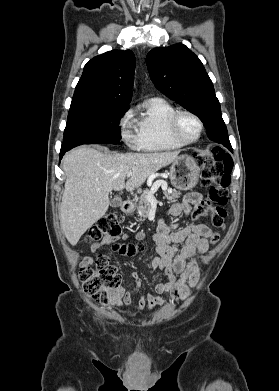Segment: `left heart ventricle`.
<instances>
[{
	"label": "left heart ventricle",
	"mask_w": 279,
	"mask_h": 391,
	"mask_svg": "<svg viewBox=\"0 0 279 391\" xmlns=\"http://www.w3.org/2000/svg\"><path fill=\"white\" fill-rule=\"evenodd\" d=\"M179 132L187 140L196 138L199 132L197 122L188 115H183L179 122Z\"/></svg>",
	"instance_id": "1"
}]
</instances>
